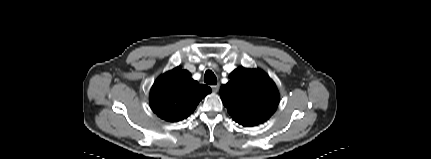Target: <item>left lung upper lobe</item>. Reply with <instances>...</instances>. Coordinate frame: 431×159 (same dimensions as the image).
Masks as SVG:
<instances>
[{
	"mask_svg": "<svg viewBox=\"0 0 431 159\" xmlns=\"http://www.w3.org/2000/svg\"><path fill=\"white\" fill-rule=\"evenodd\" d=\"M220 95L228 113L243 126L260 124L275 112L279 93L275 83L263 71L244 67L230 74Z\"/></svg>",
	"mask_w": 431,
	"mask_h": 159,
	"instance_id": "obj_1",
	"label": "left lung upper lobe"
}]
</instances>
